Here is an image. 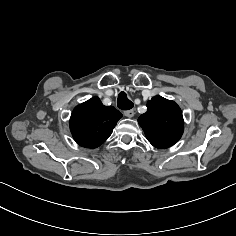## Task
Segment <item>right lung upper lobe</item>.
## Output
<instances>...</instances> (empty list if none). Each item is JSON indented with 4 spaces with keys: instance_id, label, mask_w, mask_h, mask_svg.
Wrapping results in <instances>:
<instances>
[{
    "instance_id": "cb5924a9",
    "label": "right lung upper lobe",
    "mask_w": 236,
    "mask_h": 236,
    "mask_svg": "<svg viewBox=\"0 0 236 236\" xmlns=\"http://www.w3.org/2000/svg\"><path fill=\"white\" fill-rule=\"evenodd\" d=\"M121 117L113 106H104L98 97H93L74 108L70 130L80 146L97 148L111 135Z\"/></svg>"
}]
</instances>
